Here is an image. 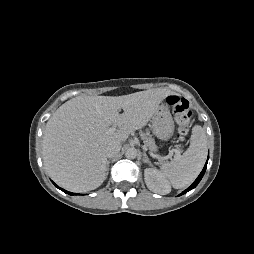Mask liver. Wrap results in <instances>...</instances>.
Returning <instances> with one entry per match:
<instances>
[{
    "instance_id": "liver-1",
    "label": "liver",
    "mask_w": 254,
    "mask_h": 254,
    "mask_svg": "<svg viewBox=\"0 0 254 254\" xmlns=\"http://www.w3.org/2000/svg\"><path fill=\"white\" fill-rule=\"evenodd\" d=\"M173 92L149 89L122 96H77L48 120L42 143L44 167L62 187L86 192L106 179L105 149L143 128ZM123 113L119 114V110ZM110 126L118 127L108 133Z\"/></svg>"
}]
</instances>
